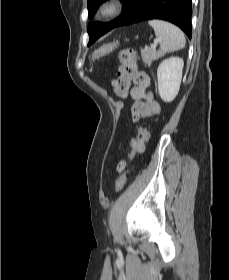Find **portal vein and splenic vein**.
I'll list each match as a JSON object with an SVG mask.
<instances>
[{
    "instance_id": "portal-vein-and-splenic-vein-1",
    "label": "portal vein and splenic vein",
    "mask_w": 229,
    "mask_h": 280,
    "mask_svg": "<svg viewBox=\"0 0 229 280\" xmlns=\"http://www.w3.org/2000/svg\"><path fill=\"white\" fill-rule=\"evenodd\" d=\"M157 45H158V41L156 40V41H154V43L151 45V48H152L153 50H155V49L157 48Z\"/></svg>"
}]
</instances>
